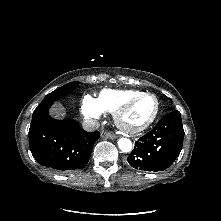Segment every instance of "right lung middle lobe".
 I'll use <instances>...</instances> for the list:
<instances>
[{
    "instance_id": "1",
    "label": "right lung middle lobe",
    "mask_w": 221,
    "mask_h": 221,
    "mask_svg": "<svg viewBox=\"0 0 221 221\" xmlns=\"http://www.w3.org/2000/svg\"><path fill=\"white\" fill-rule=\"evenodd\" d=\"M80 82H70L68 84H65L64 86L54 90L53 92L49 93L45 96V98L42 100L40 104L47 103V102H53L57 99H60L63 95H66L70 93L72 90H74Z\"/></svg>"
}]
</instances>
